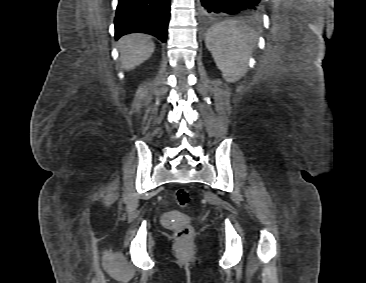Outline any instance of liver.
I'll list each match as a JSON object with an SVG mask.
<instances>
[{
    "mask_svg": "<svg viewBox=\"0 0 366 283\" xmlns=\"http://www.w3.org/2000/svg\"><path fill=\"white\" fill-rule=\"evenodd\" d=\"M118 48L123 68L131 70L151 57L155 44L149 35L131 33L119 39Z\"/></svg>",
    "mask_w": 366,
    "mask_h": 283,
    "instance_id": "1",
    "label": "liver"
}]
</instances>
